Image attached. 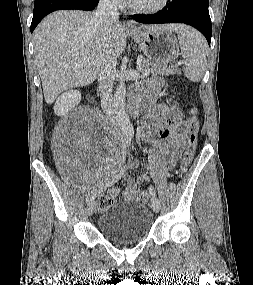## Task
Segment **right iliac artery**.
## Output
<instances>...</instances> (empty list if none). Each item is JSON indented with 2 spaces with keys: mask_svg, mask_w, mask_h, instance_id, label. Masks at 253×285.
<instances>
[{
  "mask_svg": "<svg viewBox=\"0 0 253 285\" xmlns=\"http://www.w3.org/2000/svg\"><path fill=\"white\" fill-rule=\"evenodd\" d=\"M126 142L127 143H130V138L127 137L126 138ZM125 169L126 167H123L117 174H115L111 180H109L108 182H106L105 185L101 186L98 190L94 191L92 194H91V197L90 199H94L96 198L97 196H99L100 194H102L108 187H110L111 185H114L116 182H118L121 177L123 176L124 172H125Z\"/></svg>",
  "mask_w": 253,
  "mask_h": 285,
  "instance_id": "82829eb1",
  "label": "right iliac artery"
}]
</instances>
